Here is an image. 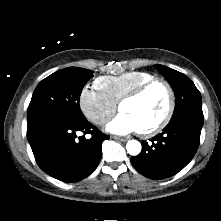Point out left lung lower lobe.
Segmentation results:
<instances>
[{"mask_svg": "<svg viewBox=\"0 0 221 221\" xmlns=\"http://www.w3.org/2000/svg\"><path fill=\"white\" fill-rule=\"evenodd\" d=\"M204 122L202 111H185L172 117L163 132L142 141V151L131 157L135 169L151 179L171 177L194 157Z\"/></svg>", "mask_w": 221, "mask_h": 221, "instance_id": "0a47b994", "label": "left lung lower lobe"}]
</instances>
